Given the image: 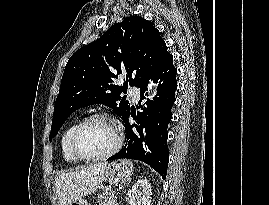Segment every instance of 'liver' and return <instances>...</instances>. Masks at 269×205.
<instances>
[{
	"label": "liver",
	"instance_id": "6515ba94",
	"mask_svg": "<svg viewBox=\"0 0 269 205\" xmlns=\"http://www.w3.org/2000/svg\"><path fill=\"white\" fill-rule=\"evenodd\" d=\"M107 162L90 164L75 172L60 174L55 179L60 205H70L76 199L95 192L105 180Z\"/></svg>",
	"mask_w": 269,
	"mask_h": 205
}]
</instances>
